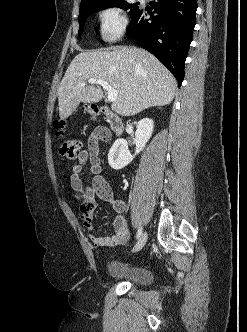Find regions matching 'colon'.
Returning <instances> with one entry per match:
<instances>
[{
  "label": "colon",
  "mask_w": 247,
  "mask_h": 332,
  "mask_svg": "<svg viewBox=\"0 0 247 332\" xmlns=\"http://www.w3.org/2000/svg\"><path fill=\"white\" fill-rule=\"evenodd\" d=\"M88 112L92 116H96L98 114V109L96 107H89ZM56 128H58V143H57V151L60 156L67 159H74L80 149H81V141L75 137H67L63 134L62 128L64 126L63 121L56 122ZM94 209L93 202H87L81 205L80 212L84 218H89L91 212Z\"/></svg>",
  "instance_id": "colon-1"
}]
</instances>
